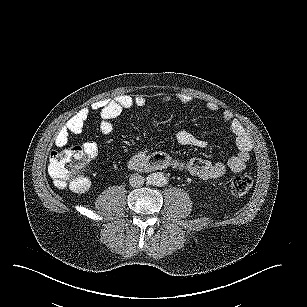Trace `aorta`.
I'll return each mask as SVG.
<instances>
[{
  "mask_svg": "<svg viewBox=\"0 0 307 307\" xmlns=\"http://www.w3.org/2000/svg\"><path fill=\"white\" fill-rule=\"evenodd\" d=\"M165 181V177L163 173L157 172L150 175V184L155 186H161L163 185Z\"/></svg>",
  "mask_w": 307,
  "mask_h": 307,
  "instance_id": "aorta-1",
  "label": "aorta"
}]
</instances>
